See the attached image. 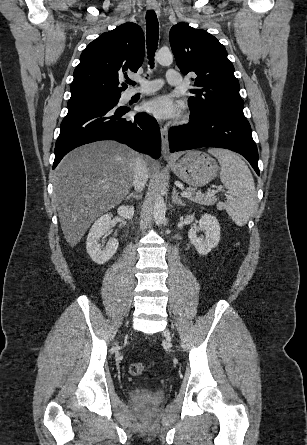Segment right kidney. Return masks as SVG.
<instances>
[{
	"label": "right kidney",
	"instance_id": "obj_1",
	"mask_svg": "<svg viewBox=\"0 0 307 445\" xmlns=\"http://www.w3.org/2000/svg\"><path fill=\"white\" fill-rule=\"evenodd\" d=\"M118 214L124 216V218H132L134 214V206H119ZM111 216L112 214H103L98 220H95L87 237V253L97 265H104V263H107L118 249V241H116V239H110L106 247H103V245H99L98 243L100 237L106 235L107 231L110 229Z\"/></svg>",
	"mask_w": 307,
	"mask_h": 445
}]
</instances>
